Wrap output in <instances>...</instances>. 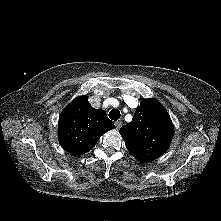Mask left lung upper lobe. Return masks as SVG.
<instances>
[{"label":"left lung upper lobe","instance_id":"5c2ea615","mask_svg":"<svg viewBox=\"0 0 221 221\" xmlns=\"http://www.w3.org/2000/svg\"><path fill=\"white\" fill-rule=\"evenodd\" d=\"M128 151L140 162L160 157L174 135L170 116L156 99H144L130 123L120 129Z\"/></svg>","mask_w":221,"mask_h":221}]
</instances>
